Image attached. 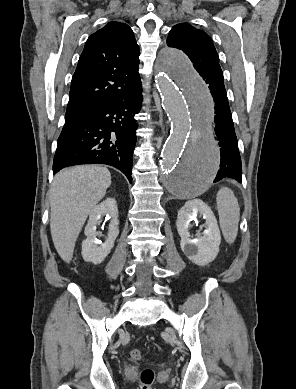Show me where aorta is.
Wrapping results in <instances>:
<instances>
[{
  "instance_id": "762f6f07",
  "label": "aorta",
  "mask_w": 296,
  "mask_h": 389,
  "mask_svg": "<svg viewBox=\"0 0 296 389\" xmlns=\"http://www.w3.org/2000/svg\"><path fill=\"white\" fill-rule=\"evenodd\" d=\"M156 83L171 132L161 153L164 188L182 198L208 189L220 164L212 129L214 94L180 50L165 48L157 62Z\"/></svg>"
}]
</instances>
